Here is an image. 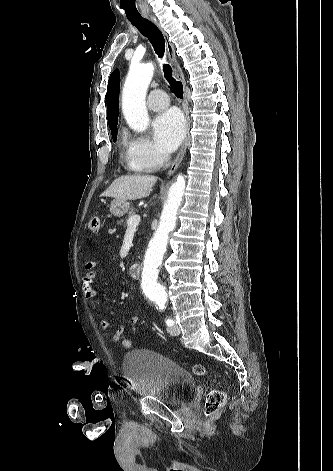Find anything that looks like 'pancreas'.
Masks as SVG:
<instances>
[{"label": "pancreas", "mask_w": 333, "mask_h": 471, "mask_svg": "<svg viewBox=\"0 0 333 471\" xmlns=\"http://www.w3.org/2000/svg\"><path fill=\"white\" fill-rule=\"evenodd\" d=\"M134 214H135V209H134V208H131V209L129 210L127 216H128V218H130V217L133 216ZM126 223H127V219H126L125 221H123V220L121 221V224H123L124 226L126 225Z\"/></svg>", "instance_id": "pancreas-1"}]
</instances>
